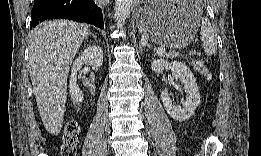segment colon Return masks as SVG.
<instances>
[{
  "label": "colon",
  "instance_id": "1",
  "mask_svg": "<svg viewBox=\"0 0 261 156\" xmlns=\"http://www.w3.org/2000/svg\"><path fill=\"white\" fill-rule=\"evenodd\" d=\"M193 66L197 72L204 75L207 79L211 77L208 67L203 62L196 60L193 62ZM79 137L80 130L78 123L74 120L67 122L62 133V144L60 147L61 155H76Z\"/></svg>",
  "mask_w": 261,
  "mask_h": 156
}]
</instances>
